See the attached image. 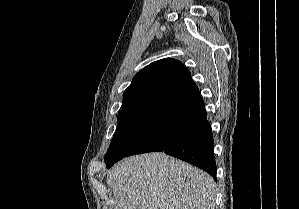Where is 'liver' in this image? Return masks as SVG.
I'll use <instances>...</instances> for the list:
<instances>
[{"label":"liver","instance_id":"liver-1","mask_svg":"<svg viewBox=\"0 0 299 209\" xmlns=\"http://www.w3.org/2000/svg\"><path fill=\"white\" fill-rule=\"evenodd\" d=\"M106 182L115 209H215L213 178L160 152L123 159L108 172Z\"/></svg>","mask_w":299,"mask_h":209}]
</instances>
